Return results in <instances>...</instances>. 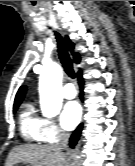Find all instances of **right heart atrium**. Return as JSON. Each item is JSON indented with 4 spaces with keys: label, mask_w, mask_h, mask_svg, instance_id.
<instances>
[{
    "label": "right heart atrium",
    "mask_w": 135,
    "mask_h": 166,
    "mask_svg": "<svg viewBox=\"0 0 135 166\" xmlns=\"http://www.w3.org/2000/svg\"><path fill=\"white\" fill-rule=\"evenodd\" d=\"M63 137L62 131L57 124L49 119H44L43 122V139L44 141L56 142Z\"/></svg>",
    "instance_id": "1"
}]
</instances>
